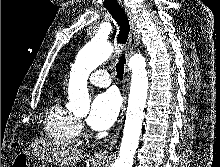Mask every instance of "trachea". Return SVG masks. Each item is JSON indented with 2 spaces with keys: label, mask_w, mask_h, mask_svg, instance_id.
<instances>
[{
  "label": "trachea",
  "mask_w": 220,
  "mask_h": 167,
  "mask_svg": "<svg viewBox=\"0 0 220 167\" xmlns=\"http://www.w3.org/2000/svg\"><path fill=\"white\" fill-rule=\"evenodd\" d=\"M106 8L110 12L112 17L116 20L119 26L117 44L124 46L127 42L129 31H130V24H129L128 18L125 12L123 11V9L119 5L108 6ZM118 60L119 61L116 65L117 77L120 80H122L123 75H124V65L126 63L124 51H122Z\"/></svg>",
  "instance_id": "trachea-1"
}]
</instances>
